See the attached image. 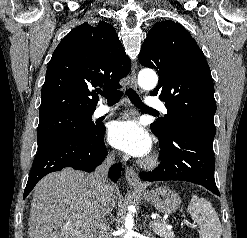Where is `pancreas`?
I'll return each instance as SVG.
<instances>
[{
	"label": "pancreas",
	"mask_w": 247,
	"mask_h": 238,
	"mask_svg": "<svg viewBox=\"0 0 247 238\" xmlns=\"http://www.w3.org/2000/svg\"><path fill=\"white\" fill-rule=\"evenodd\" d=\"M152 231L161 238H174V232L168 228L167 223L162 220L153 221L150 224Z\"/></svg>",
	"instance_id": "1"
}]
</instances>
